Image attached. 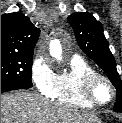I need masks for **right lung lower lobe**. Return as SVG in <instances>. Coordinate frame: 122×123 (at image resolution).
Wrapping results in <instances>:
<instances>
[{
	"mask_svg": "<svg viewBox=\"0 0 122 123\" xmlns=\"http://www.w3.org/2000/svg\"><path fill=\"white\" fill-rule=\"evenodd\" d=\"M18 89H29V87L12 81H1V93Z\"/></svg>",
	"mask_w": 122,
	"mask_h": 123,
	"instance_id": "right-lung-lower-lobe-1",
	"label": "right lung lower lobe"
}]
</instances>
